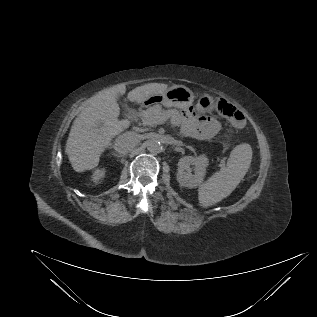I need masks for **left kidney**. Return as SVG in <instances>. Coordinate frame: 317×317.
Listing matches in <instances>:
<instances>
[{
  "mask_svg": "<svg viewBox=\"0 0 317 317\" xmlns=\"http://www.w3.org/2000/svg\"><path fill=\"white\" fill-rule=\"evenodd\" d=\"M208 163V158L204 154L198 157H182L178 162L177 181L181 186L188 188L200 186L204 179ZM192 169L194 174H192Z\"/></svg>",
  "mask_w": 317,
  "mask_h": 317,
  "instance_id": "5707ae66",
  "label": "left kidney"
}]
</instances>
